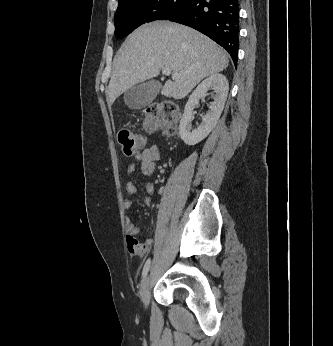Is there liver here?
Segmentation results:
<instances>
[{"label": "liver", "mask_w": 333, "mask_h": 346, "mask_svg": "<svg viewBox=\"0 0 333 346\" xmlns=\"http://www.w3.org/2000/svg\"><path fill=\"white\" fill-rule=\"evenodd\" d=\"M228 54L198 31L176 23L154 22L137 28L122 44L111 76L107 102L134 85L157 77L169 67L179 74L164 84L161 94L182 99L205 77L228 67Z\"/></svg>", "instance_id": "obj_1"}]
</instances>
